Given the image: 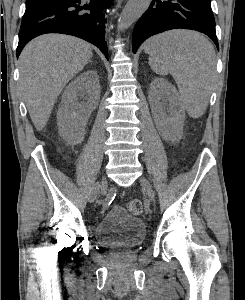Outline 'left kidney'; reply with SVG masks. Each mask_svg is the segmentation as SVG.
Segmentation results:
<instances>
[{
  "instance_id": "1",
  "label": "left kidney",
  "mask_w": 245,
  "mask_h": 300,
  "mask_svg": "<svg viewBox=\"0 0 245 300\" xmlns=\"http://www.w3.org/2000/svg\"><path fill=\"white\" fill-rule=\"evenodd\" d=\"M148 97L162 136L168 140L178 139L184 126L185 110L175 87L164 78H156L150 84Z\"/></svg>"
}]
</instances>
